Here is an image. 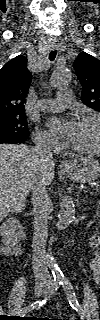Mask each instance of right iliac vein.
<instances>
[{"instance_id":"63e3f726","label":"right iliac vein","mask_w":100,"mask_h":320,"mask_svg":"<svg viewBox=\"0 0 100 320\" xmlns=\"http://www.w3.org/2000/svg\"><path fill=\"white\" fill-rule=\"evenodd\" d=\"M48 288V285H45L43 283H38L35 286V297L39 298L40 296L43 295L44 292H46Z\"/></svg>"}]
</instances>
